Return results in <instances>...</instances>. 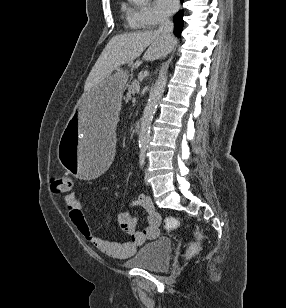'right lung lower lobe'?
Here are the masks:
<instances>
[{
	"mask_svg": "<svg viewBox=\"0 0 286 308\" xmlns=\"http://www.w3.org/2000/svg\"><path fill=\"white\" fill-rule=\"evenodd\" d=\"M174 33L176 36H180L183 29V11H179L174 16Z\"/></svg>",
	"mask_w": 286,
	"mask_h": 308,
	"instance_id": "1",
	"label": "right lung lower lobe"
}]
</instances>
